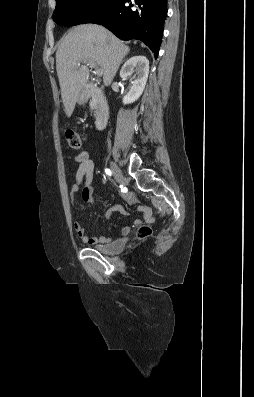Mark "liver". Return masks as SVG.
Masks as SVG:
<instances>
[{
	"mask_svg": "<svg viewBox=\"0 0 254 397\" xmlns=\"http://www.w3.org/2000/svg\"><path fill=\"white\" fill-rule=\"evenodd\" d=\"M129 47L99 25L74 27L56 52V70L67 117H71L78 96L87 82L89 69L78 63L92 60L103 70V83L109 86L128 54Z\"/></svg>",
	"mask_w": 254,
	"mask_h": 397,
	"instance_id": "6515ba94",
	"label": "liver"
}]
</instances>
